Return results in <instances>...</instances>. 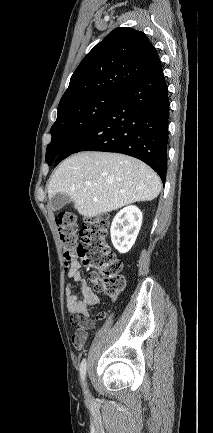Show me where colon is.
Listing matches in <instances>:
<instances>
[{
  "mask_svg": "<svg viewBox=\"0 0 213 433\" xmlns=\"http://www.w3.org/2000/svg\"><path fill=\"white\" fill-rule=\"evenodd\" d=\"M56 224L66 270L77 259H81L93 269L90 279L94 284V291L104 292L115 298L124 289L125 280L121 275L122 263L107 242V217L101 215L87 220L79 233L72 213H59L56 216ZM71 321L77 330L82 328L83 321L79 316H72ZM77 340L80 341V337Z\"/></svg>",
  "mask_w": 213,
  "mask_h": 433,
  "instance_id": "obj_1",
  "label": "colon"
}]
</instances>
